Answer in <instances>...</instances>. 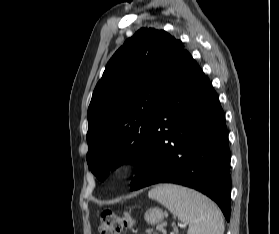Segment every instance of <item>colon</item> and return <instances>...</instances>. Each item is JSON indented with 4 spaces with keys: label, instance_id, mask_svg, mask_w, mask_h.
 <instances>
[{
    "label": "colon",
    "instance_id": "obj_1",
    "mask_svg": "<svg viewBox=\"0 0 279 234\" xmlns=\"http://www.w3.org/2000/svg\"><path fill=\"white\" fill-rule=\"evenodd\" d=\"M100 222V234H121L123 230L133 225L129 214L118 216L110 211H104L101 214Z\"/></svg>",
    "mask_w": 279,
    "mask_h": 234
}]
</instances>
